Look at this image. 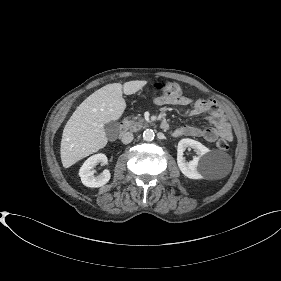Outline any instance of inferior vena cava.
<instances>
[{"label": "inferior vena cava", "mask_w": 281, "mask_h": 281, "mask_svg": "<svg viewBox=\"0 0 281 281\" xmlns=\"http://www.w3.org/2000/svg\"><path fill=\"white\" fill-rule=\"evenodd\" d=\"M133 138L134 136L131 132H126L121 135V141L124 144H129L130 142H132Z\"/></svg>", "instance_id": "obj_1"}]
</instances>
